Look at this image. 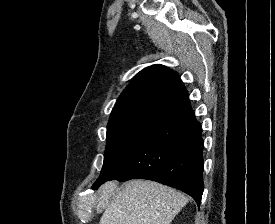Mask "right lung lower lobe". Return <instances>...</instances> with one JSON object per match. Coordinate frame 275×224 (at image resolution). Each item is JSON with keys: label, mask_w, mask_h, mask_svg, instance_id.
I'll list each match as a JSON object with an SVG mask.
<instances>
[{"label": "right lung lower lobe", "mask_w": 275, "mask_h": 224, "mask_svg": "<svg viewBox=\"0 0 275 224\" xmlns=\"http://www.w3.org/2000/svg\"><path fill=\"white\" fill-rule=\"evenodd\" d=\"M203 138L186 99L167 110L146 137L107 180H153L190 195L198 204L203 194Z\"/></svg>", "instance_id": "1"}]
</instances>
